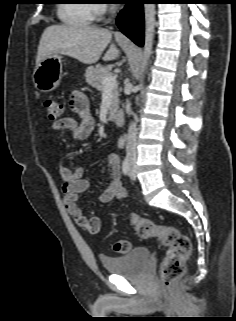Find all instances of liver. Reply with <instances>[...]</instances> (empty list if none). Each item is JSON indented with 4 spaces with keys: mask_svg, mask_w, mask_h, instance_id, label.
I'll return each instance as SVG.
<instances>
[{
    "mask_svg": "<svg viewBox=\"0 0 236 321\" xmlns=\"http://www.w3.org/2000/svg\"><path fill=\"white\" fill-rule=\"evenodd\" d=\"M112 40L108 29L88 25H53L43 32L36 56V65L54 54L75 58L84 64L96 63ZM120 56V51L112 43L103 56L104 61H112Z\"/></svg>",
    "mask_w": 236,
    "mask_h": 321,
    "instance_id": "obj_1",
    "label": "liver"
}]
</instances>
